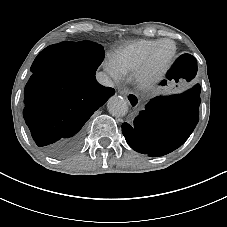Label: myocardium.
Masks as SVG:
<instances>
[{"instance_id": "obj_1", "label": "myocardium", "mask_w": 227, "mask_h": 227, "mask_svg": "<svg viewBox=\"0 0 227 227\" xmlns=\"http://www.w3.org/2000/svg\"><path fill=\"white\" fill-rule=\"evenodd\" d=\"M173 46L172 53L161 59L160 52L165 44ZM177 46L169 39L162 40L152 51L147 60L135 70V81L141 89H152L158 86L170 71L176 57Z\"/></svg>"}]
</instances>
